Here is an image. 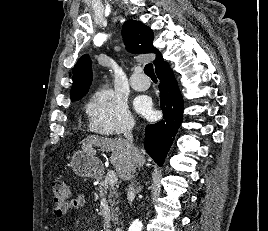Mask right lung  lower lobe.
<instances>
[{
	"instance_id": "right-lung-lower-lobe-1",
	"label": "right lung lower lobe",
	"mask_w": 268,
	"mask_h": 231,
	"mask_svg": "<svg viewBox=\"0 0 268 231\" xmlns=\"http://www.w3.org/2000/svg\"><path fill=\"white\" fill-rule=\"evenodd\" d=\"M163 120L146 127L145 149L162 166L183 119V99L168 64L156 70Z\"/></svg>"
}]
</instances>
